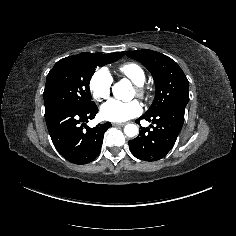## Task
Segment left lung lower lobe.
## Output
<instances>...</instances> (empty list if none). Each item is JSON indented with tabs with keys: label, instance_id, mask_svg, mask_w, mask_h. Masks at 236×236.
Instances as JSON below:
<instances>
[{
	"label": "left lung lower lobe",
	"instance_id": "left-lung-lower-lobe-1",
	"mask_svg": "<svg viewBox=\"0 0 236 236\" xmlns=\"http://www.w3.org/2000/svg\"><path fill=\"white\" fill-rule=\"evenodd\" d=\"M186 104L175 103L154 114L143 115L140 119L152 122L154 126L141 128L139 135L128 141L132 154L144 161H157L163 158L173 147L184 123Z\"/></svg>",
	"mask_w": 236,
	"mask_h": 236
}]
</instances>
